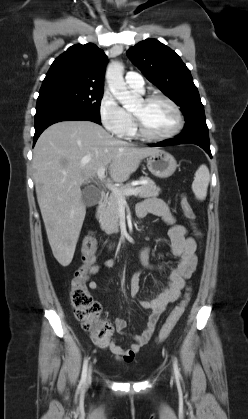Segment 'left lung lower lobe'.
I'll return each instance as SVG.
<instances>
[{
	"label": "left lung lower lobe",
	"instance_id": "obj_1",
	"mask_svg": "<svg viewBox=\"0 0 248 419\" xmlns=\"http://www.w3.org/2000/svg\"><path fill=\"white\" fill-rule=\"evenodd\" d=\"M185 143H192L200 146L210 157H212L206 123H199L190 128L183 129V132L176 138L168 139L151 146H171Z\"/></svg>",
	"mask_w": 248,
	"mask_h": 419
}]
</instances>
